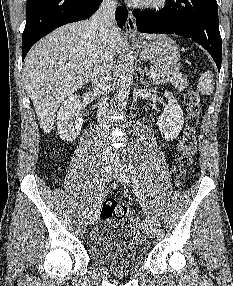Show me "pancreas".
Masks as SVG:
<instances>
[{"instance_id": "cf45deb5", "label": "pancreas", "mask_w": 233, "mask_h": 286, "mask_svg": "<svg viewBox=\"0 0 233 286\" xmlns=\"http://www.w3.org/2000/svg\"><path fill=\"white\" fill-rule=\"evenodd\" d=\"M156 72L157 76L151 78V81L154 84H166L172 83L179 91L184 90L188 86V81L186 78H183L181 73L174 68L171 67H163V66H151L150 73Z\"/></svg>"}]
</instances>
